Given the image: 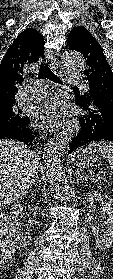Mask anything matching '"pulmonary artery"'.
<instances>
[{"instance_id": "obj_1", "label": "pulmonary artery", "mask_w": 113, "mask_h": 279, "mask_svg": "<svg viewBox=\"0 0 113 279\" xmlns=\"http://www.w3.org/2000/svg\"><path fill=\"white\" fill-rule=\"evenodd\" d=\"M64 78L68 83H71L73 85H82V86L86 87L84 80L76 74H66ZM46 89H47L46 84H44L41 81H35L34 83L25 86V90L23 93V99L30 100V99L34 98L36 95H39V94L45 92Z\"/></svg>"}]
</instances>
